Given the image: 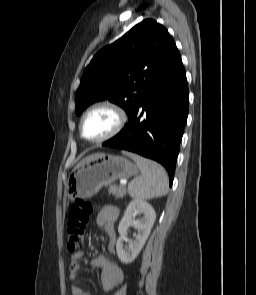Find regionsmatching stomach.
Masks as SVG:
<instances>
[{
    "mask_svg": "<svg viewBox=\"0 0 256 295\" xmlns=\"http://www.w3.org/2000/svg\"><path fill=\"white\" fill-rule=\"evenodd\" d=\"M137 173V167L128 159L99 153L76 166L67 182L68 199L90 198L117 179H126Z\"/></svg>",
    "mask_w": 256,
    "mask_h": 295,
    "instance_id": "obj_1",
    "label": "stomach"
}]
</instances>
